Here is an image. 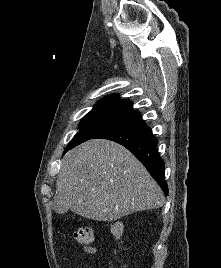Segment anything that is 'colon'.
<instances>
[{"label": "colon", "instance_id": "1", "mask_svg": "<svg viewBox=\"0 0 221 268\" xmlns=\"http://www.w3.org/2000/svg\"><path fill=\"white\" fill-rule=\"evenodd\" d=\"M111 232L114 237L121 238L124 233L123 224L115 222L111 225ZM74 239L82 245H90L94 241V230L89 226L78 228L73 233Z\"/></svg>", "mask_w": 221, "mask_h": 268}]
</instances>
